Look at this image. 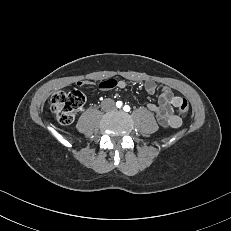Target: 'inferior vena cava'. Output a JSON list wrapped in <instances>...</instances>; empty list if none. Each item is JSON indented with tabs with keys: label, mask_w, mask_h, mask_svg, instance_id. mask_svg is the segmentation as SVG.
Listing matches in <instances>:
<instances>
[{
	"label": "inferior vena cava",
	"mask_w": 231,
	"mask_h": 231,
	"mask_svg": "<svg viewBox=\"0 0 231 231\" xmlns=\"http://www.w3.org/2000/svg\"><path fill=\"white\" fill-rule=\"evenodd\" d=\"M102 108L104 110H111L114 108V101L111 99H106L102 102Z\"/></svg>",
	"instance_id": "602c4592"
}]
</instances>
